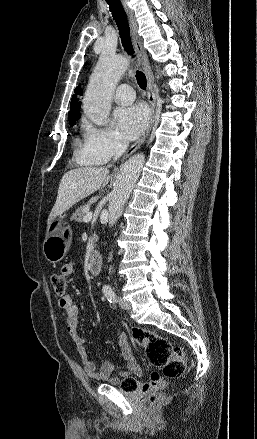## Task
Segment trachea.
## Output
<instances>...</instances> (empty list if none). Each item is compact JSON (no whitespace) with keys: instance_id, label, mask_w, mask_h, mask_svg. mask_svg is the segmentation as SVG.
Instances as JSON below:
<instances>
[{"instance_id":"3493384b","label":"trachea","mask_w":257,"mask_h":439,"mask_svg":"<svg viewBox=\"0 0 257 439\" xmlns=\"http://www.w3.org/2000/svg\"><path fill=\"white\" fill-rule=\"evenodd\" d=\"M109 5L112 16L118 26L120 38L122 40L125 51L133 56V47L130 38L129 25L126 17V13L119 0H106ZM136 80L138 85L142 88H146V76L143 72H136Z\"/></svg>"}]
</instances>
